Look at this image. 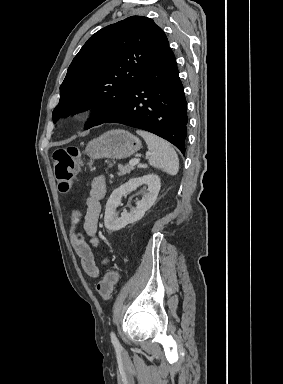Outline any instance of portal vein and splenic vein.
<instances>
[{
    "instance_id": "portal-vein-and-splenic-vein-1",
    "label": "portal vein and splenic vein",
    "mask_w": 283,
    "mask_h": 384,
    "mask_svg": "<svg viewBox=\"0 0 283 384\" xmlns=\"http://www.w3.org/2000/svg\"><path fill=\"white\" fill-rule=\"evenodd\" d=\"M148 156H152V152H146V158ZM140 160H130L129 166H136V164H139Z\"/></svg>"
}]
</instances>
